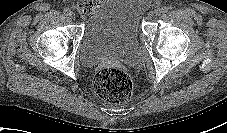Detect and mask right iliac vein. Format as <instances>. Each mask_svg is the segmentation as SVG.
Returning a JSON list of instances; mask_svg holds the SVG:
<instances>
[{
  "label": "right iliac vein",
  "instance_id": "obj_1",
  "mask_svg": "<svg viewBox=\"0 0 227 133\" xmlns=\"http://www.w3.org/2000/svg\"><path fill=\"white\" fill-rule=\"evenodd\" d=\"M69 17H70V19L74 20L75 19V14L73 12H70Z\"/></svg>",
  "mask_w": 227,
  "mask_h": 133
}]
</instances>
